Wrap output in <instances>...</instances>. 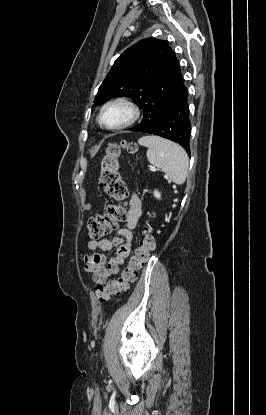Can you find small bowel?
Listing matches in <instances>:
<instances>
[{
    "label": "small bowel",
    "mask_w": 266,
    "mask_h": 415,
    "mask_svg": "<svg viewBox=\"0 0 266 415\" xmlns=\"http://www.w3.org/2000/svg\"><path fill=\"white\" fill-rule=\"evenodd\" d=\"M126 205L128 207L127 217L125 222L118 227L117 236L111 239H93L88 242V249L92 251L101 249L107 252L116 249L115 255L110 259L104 253L85 256V271L91 274L92 280L97 284H104L110 276L117 274L130 254L132 230L142 214V203L139 196L133 193Z\"/></svg>",
    "instance_id": "c3829d8e"
}]
</instances>
